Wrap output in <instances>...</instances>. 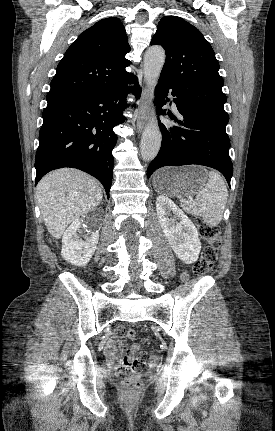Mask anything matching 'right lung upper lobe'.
<instances>
[{"mask_svg":"<svg viewBox=\"0 0 275 431\" xmlns=\"http://www.w3.org/2000/svg\"><path fill=\"white\" fill-rule=\"evenodd\" d=\"M130 51L120 19L98 21L85 30L67 49L51 81L47 102L113 89L134 75L126 72Z\"/></svg>","mask_w":275,"mask_h":431,"instance_id":"cb5924a9","label":"right lung upper lobe"}]
</instances>
